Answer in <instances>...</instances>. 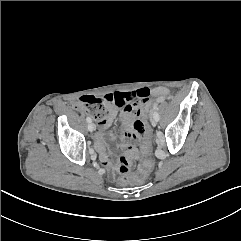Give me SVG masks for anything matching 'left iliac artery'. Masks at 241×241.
Returning <instances> with one entry per match:
<instances>
[{
  "label": "left iliac artery",
  "instance_id": "1",
  "mask_svg": "<svg viewBox=\"0 0 241 241\" xmlns=\"http://www.w3.org/2000/svg\"><path fill=\"white\" fill-rule=\"evenodd\" d=\"M156 110H157V106H154L153 117L158 121L159 120V114Z\"/></svg>",
  "mask_w": 241,
  "mask_h": 241
}]
</instances>
